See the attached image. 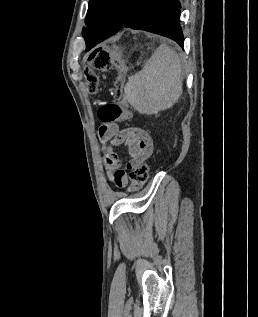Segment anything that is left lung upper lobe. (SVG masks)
Masks as SVG:
<instances>
[{
  "instance_id": "left-lung-upper-lobe-1",
  "label": "left lung upper lobe",
  "mask_w": 258,
  "mask_h": 317,
  "mask_svg": "<svg viewBox=\"0 0 258 317\" xmlns=\"http://www.w3.org/2000/svg\"><path fill=\"white\" fill-rule=\"evenodd\" d=\"M131 0H89L83 36L100 26L121 27Z\"/></svg>"
}]
</instances>
